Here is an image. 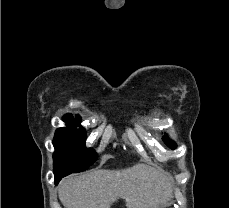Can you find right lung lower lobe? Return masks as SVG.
<instances>
[{"label":"right lung lower lobe","mask_w":229,"mask_h":208,"mask_svg":"<svg viewBox=\"0 0 229 208\" xmlns=\"http://www.w3.org/2000/svg\"><path fill=\"white\" fill-rule=\"evenodd\" d=\"M66 175H59V176H55V185H57L59 183V181Z\"/></svg>","instance_id":"1"}]
</instances>
